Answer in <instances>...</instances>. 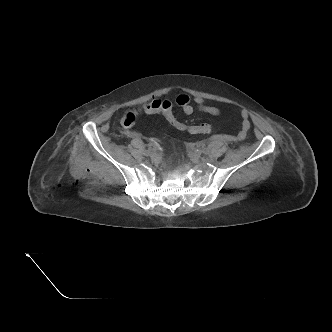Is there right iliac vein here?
<instances>
[{"mask_svg": "<svg viewBox=\"0 0 332 332\" xmlns=\"http://www.w3.org/2000/svg\"><path fill=\"white\" fill-rule=\"evenodd\" d=\"M145 154L153 157L156 155V151L152 149V150L146 151Z\"/></svg>", "mask_w": 332, "mask_h": 332, "instance_id": "obj_1", "label": "right iliac vein"}]
</instances>
